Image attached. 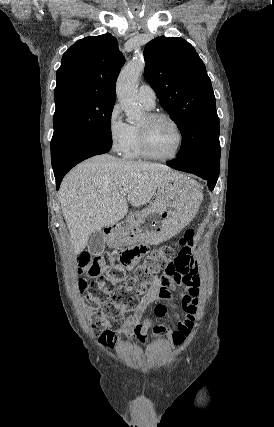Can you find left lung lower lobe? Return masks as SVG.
Segmentation results:
<instances>
[{
    "label": "left lung lower lobe",
    "mask_w": 274,
    "mask_h": 427,
    "mask_svg": "<svg viewBox=\"0 0 274 427\" xmlns=\"http://www.w3.org/2000/svg\"><path fill=\"white\" fill-rule=\"evenodd\" d=\"M220 156L217 158L207 157L200 159H176L167 162V165L180 171L193 173L207 180L209 189L212 191L216 185L220 172Z\"/></svg>",
    "instance_id": "1"
}]
</instances>
